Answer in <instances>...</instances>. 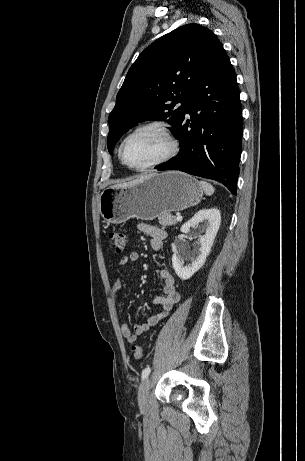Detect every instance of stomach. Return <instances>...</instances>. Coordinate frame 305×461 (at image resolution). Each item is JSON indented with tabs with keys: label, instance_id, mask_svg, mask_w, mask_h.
Segmentation results:
<instances>
[{
	"label": "stomach",
	"instance_id": "1",
	"mask_svg": "<svg viewBox=\"0 0 305 461\" xmlns=\"http://www.w3.org/2000/svg\"><path fill=\"white\" fill-rule=\"evenodd\" d=\"M203 196L200 183L180 171L152 174L125 188H108L99 197V210L109 223L130 218L152 220L163 213L196 206Z\"/></svg>",
	"mask_w": 305,
	"mask_h": 461
}]
</instances>
